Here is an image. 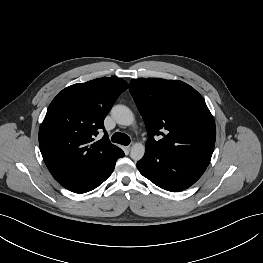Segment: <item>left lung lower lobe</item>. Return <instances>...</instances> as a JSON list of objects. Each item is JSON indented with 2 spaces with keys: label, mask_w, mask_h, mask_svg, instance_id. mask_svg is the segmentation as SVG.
I'll use <instances>...</instances> for the list:
<instances>
[{
  "label": "left lung lower lobe",
  "mask_w": 263,
  "mask_h": 263,
  "mask_svg": "<svg viewBox=\"0 0 263 263\" xmlns=\"http://www.w3.org/2000/svg\"><path fill=\"white\" fill-rule=\"evenodd\" d=\"M137 168L158 187L178 192L194 184L207 166L174 153H159L146 149L144 157L137 163Z\"/></svg>",
  "instance_id": "1"
}]
</instances>
